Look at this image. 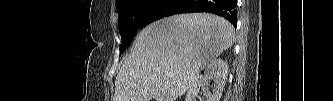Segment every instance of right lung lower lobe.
I'll list each match as a JSON object with an SVG mask.
<instances>
[{"label":"right lung lower lobe","mask_w":333,"mask_h":101,"mask_svg":"<svg viewBox=\"0 0 333 101\" xmlns=\"http://www.w3.org/2000/svg\"><path fill=\"white\" fill-rule=\"evenodd\" d=\"M236 4V0H160L147 15L144 27L166 16L191 12L214 13L224 17L236 27Z\"/></svg>","instance_id":"98d812e1"}]
</instances>
